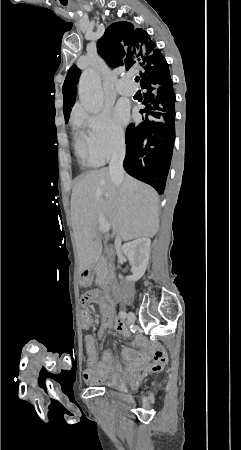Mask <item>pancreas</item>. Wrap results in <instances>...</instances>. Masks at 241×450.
I'll return each instance as SVG.
<instances>
[{
    "instance_id": "1",
    "label": "pancreas",
    "mask_w": 241,
    "mask_h": 450,
    "mask_svg": "<svg viewBox=\"0 0 241 450\" xmlns=\"http://www.w3.org/2000/svg\"><path fill=\"white\" fill-rule=\"evenodd\" d=\"M97 274H98V280H96L97 284H103V282L107 280L108 270L107 268H104V270H100L99 268Z\"/></svg>"
}]
</instances>
